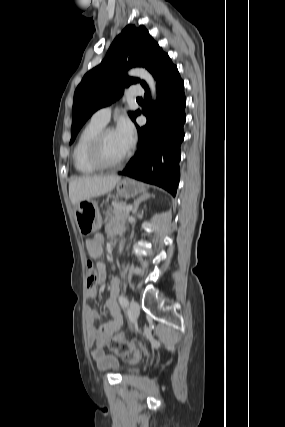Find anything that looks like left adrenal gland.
I'll return each instance as SVG.
<instances>
[{
    "label": "left adrenal gland",
    "instance_id": "a2214340",
    "mask_svg": "<svg viewBox=\"0 0 285 427\" xmlns=\"http://www.w3.org/2000/svg\"><path fill=\"white\" fill-rule=\"evenodd\" d=\"M154 197V195H150V194H143V195H141L139 198H137L135 201H134V208H133V214H136L137 213V210H138V208H139V206H140V204L143 202V201H145V200H147L148 198H150V197Z\"/></svg>",
    "mask_w": 285,
    "mask_h": 427
}]
</instances>
